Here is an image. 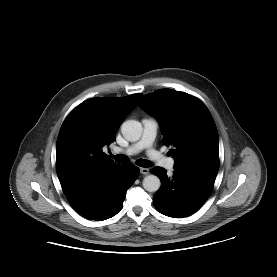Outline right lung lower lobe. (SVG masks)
Wrapping results in <instances>:
<instances>
[{
	"label": "right lung lower lobe",
	"instance_id": "obj_1",
	"mask_svg": "<svg viewBox=\"0 0 277 277\" xmlns=\"http://www.w3.org/2000/svg\"><path fill=\"white\" fill-rule=\"evenodd\" d=\"M138 175V167L116 163L63 191L77 213L87 219L101 221L121 210L126 191Z\"/></svg>",
	"mask_w": 277,
	"mask_h": 277
}]
</instances>
